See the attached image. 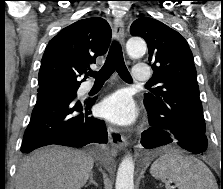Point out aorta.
<instances>
[{
    "instance_id": "aorta-1",
    "label": "aorta",
    "mask_w": 223,
    "mask_h": 189,
    "mask_svg": "<svg viewBox=\"0 0 223 189\" xmlns=\"http://www.w3.org/2000/svg\"><path fill=\"white\" fill-rule=\"evenodd\" d=\"M126 50L130 57L139 58L146 53L147 45L142 38L132 37L126 43ZM134 162L130 155L126 156L120 163L117 177L116 189H134Z\"/></svg>"
}]
</instances>
